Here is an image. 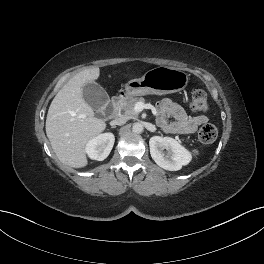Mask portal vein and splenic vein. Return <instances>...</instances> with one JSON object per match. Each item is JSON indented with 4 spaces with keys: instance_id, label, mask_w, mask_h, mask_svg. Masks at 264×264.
<instances>
[{
    "instance_id": "18ae733b",
    "label": "portal vein and splenic vein",
    "mask_w": 264,
    "mask_h": 264,
    "mask_svg": "<svg viewBox=\"0 0 264 264\" xmlns=\"http://www.w3.org/2000/svg\"><path fill=\"white\" fill-rule=\"evenodd\" d=\"M145 108V105L141 102L135 104L134 110L136 112H141Z\"/></svg>"
}]
</instances>
